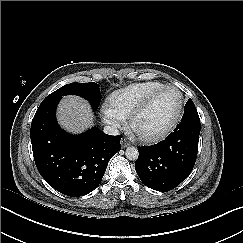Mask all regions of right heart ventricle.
Returning <instances> with one entry per match:
<instances>
[{
    "mask_svg": "<svg viewBox=\"0 0 243 243\" xmlns=\"http://www.w3.org/2000/svg\"><path fill=\"white\" fill-rule=\"evenodd\" d=\"M164 86V83L157 80L131 83L110 96V108L116 114L127 118L143 100Z\"/></svg>",
    "mask_w": 243,
    "mask_h": 243,
    "instance_id": "1",
    "label": "right heart ventricle"
}]
</instances>
